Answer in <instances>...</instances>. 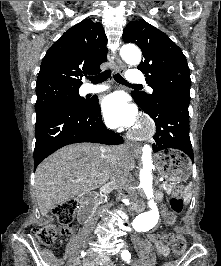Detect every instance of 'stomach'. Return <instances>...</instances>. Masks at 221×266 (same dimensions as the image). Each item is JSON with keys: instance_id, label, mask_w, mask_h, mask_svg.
Listing matches in <instances>:
<instances>
[{"instance_id": "0dacf381", "label": "stomach", "mask_w": 221, "mask_h": 266, "mask_svg": "<svg viewBox=\"0 0 221 266\" xmlns=\"http://www.w3.org/2000/svg\"><path fill=\"white\" fill-rule=\"evenodd\" d=\"M156 160L158 172L168 181L180 183L191 174V162L177 150L162 151L156 155Z\"/></svg>"}]
</instances>
